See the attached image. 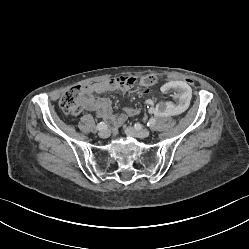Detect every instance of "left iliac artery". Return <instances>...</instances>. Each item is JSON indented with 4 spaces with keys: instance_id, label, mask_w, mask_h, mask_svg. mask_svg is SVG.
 Here are the masks:
<instances>
[{
    "instance_id": "left-iliac-artery-1",
    "label": "left iliac artery",
    "mask_w": 249,
    "mask_h": 249,
    "mask_svg": "<svg viewBox=\"0 0 249 249\" xmlns=\"http://www.w3.org/2000/svg\"><path fill=\"white\" fill-rule=\"evenodd\" d=\"M156 123L155 118H150V120L147 123V126L152 127ZM139 124H135V127L138 128Z\"/></svg>"
}]
</instances>
